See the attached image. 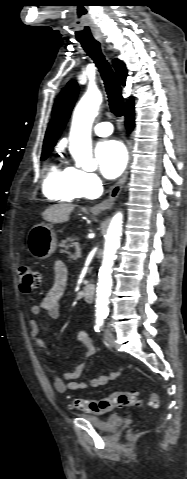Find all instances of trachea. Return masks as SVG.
I'll list each match as a JSON object with an SVG mask.
<instances>
[{
  "instance_id": "trachea-1",
  "label": "trachea",
  "mask_w": 187,
  "mask_h": 479,
  "mask_svg": "<svg viewBox=\"0 0 187 479\" xmlns=\"http://www.w3.org/2000/svg\"><path fill=\"white\" fill-rule=\"evenodd\" d=\"M83 49L93 59L105 84L111 112L120 117L124 112L121 87L115 73L102 54L100 43L95 40L80 41Z\"/></svg>"
}]
</instances>
